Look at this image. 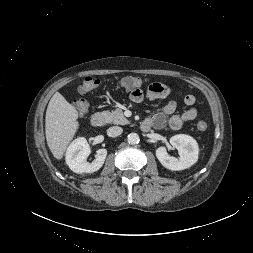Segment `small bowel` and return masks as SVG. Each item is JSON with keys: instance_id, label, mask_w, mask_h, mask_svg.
Listing matches in <instances>:
<instances>
[{"instance_id": "c3829d8e", "label": "small bowel", "mask_w": 253, "mask_h": 253, "mask_svg": "<svg viewBox=\"0 0 253 253\" xmlns=\"http://www.w3.org/2000/svg\"><path fill=\"white\" fill-rule=\"evenodd\" d=\"M171 94V88L162 83H152L148 86L146 92L137 88L131 91L130 98L136 103H140L145 99L155 100L166 98ZM186 110L181 114H174L177 104L175 101H168L162 108L161 112L154 114L145 121L149 122L154 128H163L167 123L173 130L180 129L185 122L196 118L197 110L195 108V97L191 94L183 97ZM168 116H170L168 118Z\"/></svg>"}]
</instances>
